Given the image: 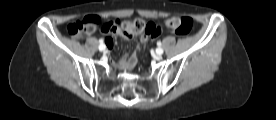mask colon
<instances>
[{
	"instance_id": "1",
	"label": "colon",
	"mask_w": 276,
	"mask_h": 120,
	"mask_svg": "<svg viewBox=\"0 0 276 120\" xmlns=\"http://www.w3.org/2000/svg\"><path fill=\"white\" fill-rule=\"evenodd\" d=\"M166 27L178 35H188L192 32L194 22L190 17H172L166 20ZM100 30L104 33H119L125 38L141 36L155 38L160 29L153 23L143 19L125 20L122 22L106 21L98 16H88L80 21H75L67 26V32L72 38H79L83 33H93Z\"/></svg>"
}]
</instances>
